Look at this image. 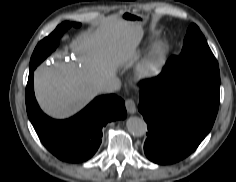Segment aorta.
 I'll return each mask as SVG.
<instances>
[{"label": "aorta", "mask_w": 236, "mask_h": 182, "mask_svg": "<svg viewBox=\"0 0 236 182\" xmlns=\"http://www.w3.org/2000/svg\"><path fill=\"white\" fill-rule=\"evenodd\" d=\"M126 127L128 132L134 137H142L147 132L146 122L136 116H132L127 119Z\"/></svg>", "instance_id": "aorta-1"}]
</instances>
